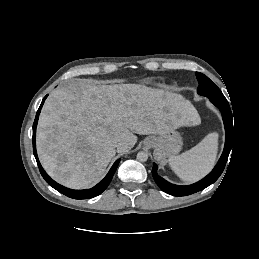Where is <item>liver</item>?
I'll return each instance as SVG.
<instances>
[{"mask_svg": "<svg viewBox=\"0 0 259 259\" xmlns=\"http://www.w3.org/2000/svg\"><path fill=\"white\" fill-rule=\"evenodd\" d=\"M200 123L181 95L141 84L101 85L71 79L46 100L37 129V152L46 172L73 189L90 186L116 152L126 153L137 136L165 134ZM123 145L116 150L113 141Z\"/></svg>", "mask_w": 259, "mask_h": 259, "instance_id": "1", "label": "liver"}]
</instances>
